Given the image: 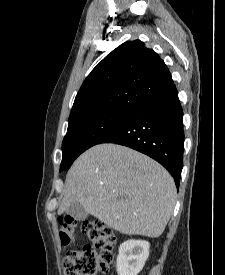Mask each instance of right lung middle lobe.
Masks as SVG:
<instances>
[{
    "label": "right lung middle lobe",
    "instance_id": "dd1d6c3e",
    "mask_svg": "<svg viewBox=\"0 0 225 275\" xmlns=\"http://www.w3.org/2000/svg\"><path fill=\"white\" fill-rule=\"evenodd\" d=\"M129 113L130 111L102 112L70 122L62 143L63 156L60 170L69 169L81 153L98 144Z\"/></svg>",
    "mask_w": 225,
    "mask_h": 275
}]
</instances>
